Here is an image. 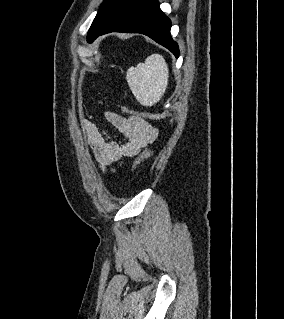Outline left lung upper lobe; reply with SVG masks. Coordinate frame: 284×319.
Returning a JSON list of instances; mask_svg holds the SVG:
<instances>
[{
	"label": "left lung upper lobe",
	"mask_w": 284,
	"mask_h": 319,
	"mask_svg": "<svg viewBox=\"0 0 284 319\" xmlns=\"http://www.w3.org/2000/svg\"><path fill=\"white\" fill-rule=\"evenodd\" d=\"M124 0H105L87 35V41L90 43L92 42L97 34L104 28V26L110 21V19L114 16V14L117 12L121 4L123 3Z\"/></svg>",
	"instance_id": "obj_1"
}]
</instances>
